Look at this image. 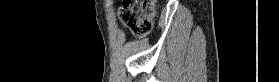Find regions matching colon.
Masks as SVG:
<instances>
[{"label": "colon", "mask_w": 279, "mask_h": 82, "mask_svg": "<svg viewBox=\"0 0 279 82\" xmlns=\"http://www.w3.org/2000/svg\"><path fill=\"white\" fill-rule=\"evenodd\" d=\"M158 3V0H123L118 18L136 37H143L152 28Z\"/></svg>", "instance_id": "colon-1"}]
</instances>
